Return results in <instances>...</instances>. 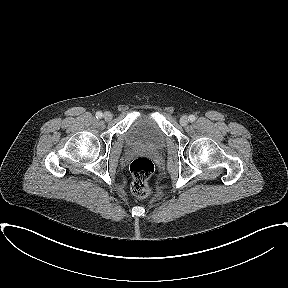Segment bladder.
<instances>
[{"mask_svg": "<svg viewBox=\"0 0 288 288\" xmlns=\"http://www.w3.org/2000/svg\"><path fill=\"white\" fill-rule=\"evenodd\" d=\"M165 141L159 122L149 115L134 119L126 132L127 144L136 148L159 150L164 147Z\"/></svg>", "mask_w": 288, "mask_h": 288, "instance_id": "31cf9c89", "label": "bladder"}]
</instances>
